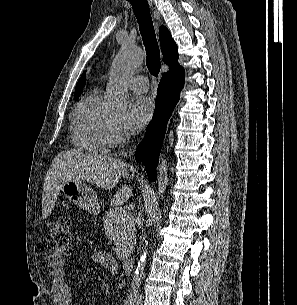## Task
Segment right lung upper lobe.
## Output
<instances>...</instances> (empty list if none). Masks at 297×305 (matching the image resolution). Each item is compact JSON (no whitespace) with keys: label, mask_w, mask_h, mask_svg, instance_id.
I'll return each mask as SVG.
<instances>
[{"label":"right lung upper lobe","mask_w":297,"mask_h":305,"mask_svg":"<svg viewBox=\"0 0 297 305\" xmlns=\"http://www.w3.org/2000/svg\"><path fill=\"white\" fill-rule=\"evenodd\" d=\"M159 39L161 44V51L163 54V59L165 63L169 66L168 72H173L175 70H178L182 68L178 64V47L175 43V41L172 39V36L169 32V30L165 26H161L159 30ZM85 86V73L81 76L79 79L76 90L74 94V98L78 99L80 96L83 87Z\"/></svg>","instance_id":"cb5924a9"}]
</instances>
